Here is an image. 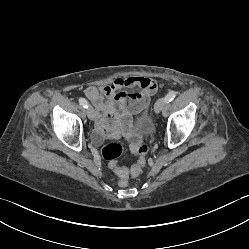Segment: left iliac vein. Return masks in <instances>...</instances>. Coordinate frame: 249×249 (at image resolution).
<instances>
[{"mask_svg": "<svg viewBox=\"0 0 249 249\" xmlns=\"http://www.w3.org/2000/svg\"><path fill=\"white\" fill-rule=\"evenodd\" d=\"M166 103L167 102L165 98L158 99L154 105L155 113H159L166 106Z\"/></svg>", "mask_w": 249, "mask_h": 249, "instance_id": "obj_1", "label": "left iliac vein"}]
</instances>
